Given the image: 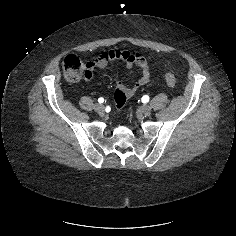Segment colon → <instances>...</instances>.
<instances>
[{"instance_id": "1", "label": "colon", "mask_w": 236, "mask_h": 236, "mask_svg": "<svg viewBox=\"0 0 236 236\" xmlns=\"http://www.w3.org/2000/svg\"><path fill=\"white\" fill-rule=\"evenodd\" d=\"M62 70L66 80L70 82H79L92 77V71L88 67L87 63L83 62L76 55H67L62 63ZM167 85L170 88L175 87L176 79L172 73H167L165 76ZM116 103L123 107L126 102V97L121 91L115 93Z\"/></svg>"}]
</instances>
